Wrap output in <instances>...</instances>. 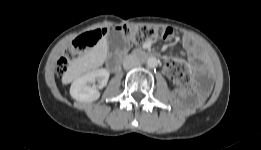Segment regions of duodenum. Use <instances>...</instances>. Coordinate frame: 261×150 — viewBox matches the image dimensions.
Returning <instances> with one entry per match:
<instances>
[{
  "instance_id": "duodenum-1",
  "label": "duodenum",
  "mask_w": 261,
  "mask_h": 150,
  "mask_svg": "<svg viewBox=\"0 0 261 150\" xmlns=\"http://www.w3.org/2000/svg\"><path fill=\"white\" fill-rule=\"evenodd\" d=\"M134 56H135V57H144V56L151 57L152 55L146 54V53H144V52H142V51H136V52L134 53ZM120 62H121L120 57L117 56V55H115V56H112V57L108 60V65H109V67H110L113 71H115V70H117V69L119 68Z\"/></svg>"
}]
</instances>
